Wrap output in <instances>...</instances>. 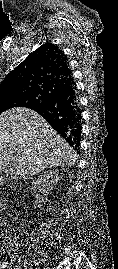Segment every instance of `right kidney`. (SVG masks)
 I'll return each mask as SVG.
<instances>
[{"label": "right kidney", "mask_w": 118, "mask_h": 269, "mask_svg": "<svg viewBox=\"0 0 118 269\" xmlns=\"http://www.w3.org/2000/svg\"><path fill=\"white\" fill-rule=\"evenodd\" d=\"M58 180L59 176L56 171H46L40 175L37 180L33 182V184L38 186L41 192L46 196L48 192L57 184ZM42 202H46V199L43 198Z\"/></svg>", "instance_id": "obj_1"}]
</instances>
